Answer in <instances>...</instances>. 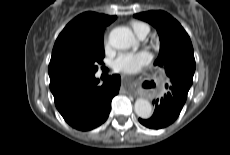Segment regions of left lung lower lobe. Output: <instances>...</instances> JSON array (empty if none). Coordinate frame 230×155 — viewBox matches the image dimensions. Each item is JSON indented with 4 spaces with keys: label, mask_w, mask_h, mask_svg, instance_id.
<instances>
[{
    "label": "left lung lower lobe",
    "mask_w": 230,
    "mask_h": 155,
    "mask_svg": "<svg viewBox=\"0 0 230 155\" xmlns=\"http://www.w3.org/2000/svg\"><path fill=\"white\" fill-rule=\"evenodd\" d=\"M168 92L161 99L153 101L155 111L150 119H139L140 123L151 129H160L172 124L179 116L191 85L179 79H170L165 85Z\"/></svg>",
    "instance_id": "1"
}]
</instances>
